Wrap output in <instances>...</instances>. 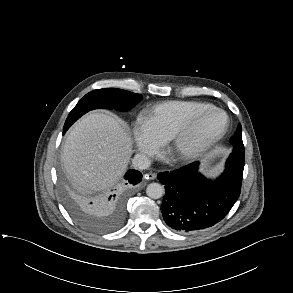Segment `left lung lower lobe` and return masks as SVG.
I'll return each instance as SVG.
<instances>
[{"label": "left lung lower lobe", "mask_w": 293, "mask_h": 293, "mask_svg": "<svg viewBox=\"0 0 293 293\" xmlns=\"http://www.w3.org/2000/svg\"><path fill=\"white\" fill-rule=\"evenodd\" d=\"M199 162L178 170L162 172L165 185L161 211L166 224L180 233H194L221 221L237 201L244 166L228 159L223 173L214 181L198 171Z\"/></svg>", "instance_id": "0a47b994"}]
</instances>
